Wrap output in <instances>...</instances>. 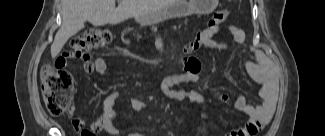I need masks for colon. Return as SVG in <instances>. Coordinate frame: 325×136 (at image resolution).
<instances>
[{
    "label": "colon",
    "instance_id": "obj_1",
    "mask_svg": "<svg viewBox=\"0 0 325 136\" xmlns=\"http://www.w3.org/2000/svg\"><path fill=\"white\" fill-rule=\"evenodd\" d=\"M228 11H217L209 22V28H216L227 19ZM203 31V30H202ZM202 31L186 46L187 52L197 50L201 45ZM113 39L108 29H91L72 39L70 54L72 57L87 61L93 51L107 47ZM41 88L43 100L48 112L52 115H61L70 108V89L66 88L63 79L54 66L47 65L41 71ZM81 136H95L90 129L82 131Z\"/></svg>",
    "mask_w": 325,
    "mask_h": 136
}]
</instances>
